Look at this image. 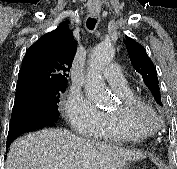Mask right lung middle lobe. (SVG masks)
<instances>
[{"instance_id": "obj_1", "label": "right lung middle lobe", "mask_w": 177, "mask_h": 169, "mask_svg": "<svg viewBox=\"0 0 177 169\" xmlns=\"http://www.w3.org/2000/svg\"><path fill=\"white\" fill-rule=\"evenodd\" d=\"M65 88L66 87L48 91L33 89L16 95L12 117L43 115L58 120V103L60 101V94L65 91Z\"/></svg>"}]
</instances>
